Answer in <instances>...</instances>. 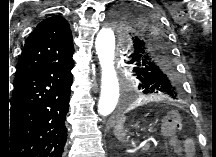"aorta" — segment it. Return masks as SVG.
Segmentation results:
<instances>
[{
	"label": "aorta",
	"instance_id": "1",
	"mask_svg": "<svg viewBox=\"0 0 216 157\" xmlns=\"http://www.w3.org/2000/svg\"><path fill=\"white\" fill-rule=\"evenodd\" d=\"M96 54L101 66V94L98 114L110 115L119 99V82L114 67L115 35L111 28H102L95 41Z\"/></svg>",
	"mask_w": 216,
	"mask_h": 157
}]
</instances>
